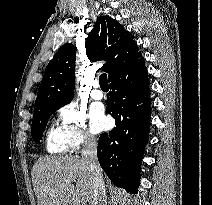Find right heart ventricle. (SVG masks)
<instances>
[{"mask_svg":"<svg viewBox=\"0 0 212 205\" xmlns=\"http://www.w3.org/2000/svg\"><path fill=\"white\" fill-rule=\"evenodd\" d=\"M46 148L48 152L54 154L64 153L68 149L59 131L55 128H50L47 133Z\"/></svg>","mask_w":212,"mask_h":205,"instance_id":"obj_1","label":"right heart ventricle"}]
</instances>
